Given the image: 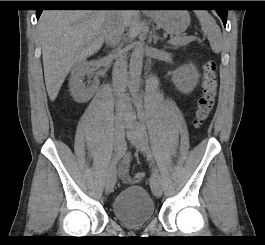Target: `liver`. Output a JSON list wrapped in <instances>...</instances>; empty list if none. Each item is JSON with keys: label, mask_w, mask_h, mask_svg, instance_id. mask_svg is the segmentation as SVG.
Wrapping results in <instances>:
<instances>
[{"label": "liver", "mask_w": 265, "mask_h": 245, "mask_svg": "<svg viewBox=\"0 0 265 245\" xmlns=\"http://www.w3.org/2000/svg\"><path fill=\"white\" fill-rule=\"evenodd\" d=\"M108 10H45L38 22L44 77L48 96L54 101L71 68L102 47ZM129 26L133 12H120Z\"/></svg>", "instance_id": "6515ba94"}]
</instances>
